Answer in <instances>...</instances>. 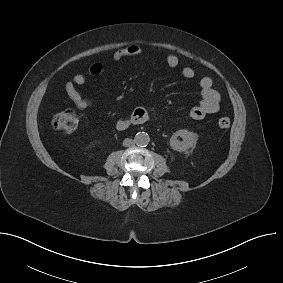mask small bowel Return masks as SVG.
Here are the masks:
<instances>
[{"instance_id": "c3829d8e", "label": "small bowel", "mask_w": 283, "mask_h": 283, "mask_svg": "<svg viewBox=\"0 0 283 283\" xmlns=\"http://www.w3.org/2000/svg\"><path fill=\"white\" fill-rule=\"evenodd\" d=\"M142 53L141 46L137 44H131L126 47L120 48L112 55V60L119 62L124 58L136 56ZM166 64L175 68L179 65V59L174 54H169L165 57ZM104 70L103 63L101 61H95L89 67L91 75H100ZM182 75L186 79H192L195 76V71L191 67H184L182 69ZM86 77L82 73H77L74 77L67 81L65 84L66 92L73 103L82 110L88 109L92 106V102L84 98L77 87L84 85ZM199 86L201 90L202 99L198 105L194 106L190 111V116L194 120H202L207 115L217 113L220 109L221 96L217 89L214 87L213 81L209 77H202L199 80ZM149 117V109L143 106L137 107L133 110L131 119L140 124L145 122Z\"/></svg>"}]
</instances>
